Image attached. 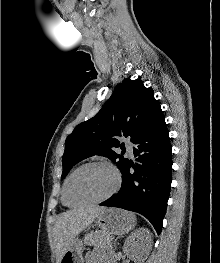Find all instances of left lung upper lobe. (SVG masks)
I'll use <instances>...</instances> for the list:
<instances>
[{
  "label": "left lung upper lobe",
  "instance_id": "1",
  "mask_svg": "<svg viewBox=\"0 0 220 263\" xmlns=\"http://www.w3.org/2000/svg\"><path fill=\"white\" fill-rule=\"evenodd\" d=\"M163 117L150 88L141 80L124 79L102 109L67 137L61 179L76 163L93 155L108 157L122 171L128 159L114 151L122 146L117 137H128L135 143Z\"/></svg>",
  "mask_w": 220,
  "mask_h": 263
}]
</instances>
